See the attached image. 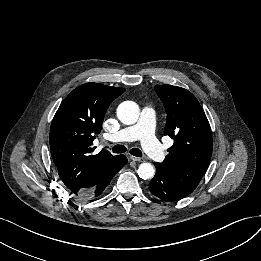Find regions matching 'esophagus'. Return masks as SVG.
<instances>
[{"mask_svg": "<svg viewBox=\"0 0 261 261\" xmlns=\"http://www.w3.org/2000/svg\"><path fill=\"white\" fill-rule=\"evenodd\" d=\"M130 159L135 162H143L144 159L136 156H130Z\"/></svg>", "mask_w": 261, "mask_h": 261, "instance_id": "obj_1", "label": "esophagus"}]
</instances>
